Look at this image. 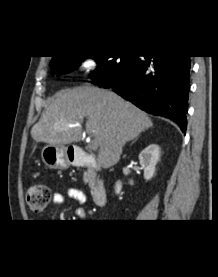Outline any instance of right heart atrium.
I'll list each match as a JSON object with an SVG mask.
<instances>
[{"mask_svg": "<svg viewBox=\"0 0 218 277\" xmlns=\"http://www.w3.org/2000/svg\"><path fill=\"white\" fill-rule=\"evenodd\" d=\"M95 67V62L92 59H84L80 63V68L85 72H91Z\"/></svg>", "mask_w": 218, "mask_h": 277, "instance_id": "right-heart-atrium-1", "label": "right heart atrium"}]
</instances>
